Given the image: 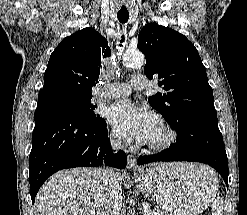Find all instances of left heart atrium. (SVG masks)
Instances as JSON below:
<instances>
[{
    "instance_id": "1",
    "label": "left heart atrium",
    "mask_w": 247,
    "mask_h": 215,
    "mask_svg": "<svg viewBox=\"0 0 247 215\" xmlns=\"http://www.w3.org/2000/svg\"><path fill=\"white\" fill-rule=\"evenodd\" d=\"M106 118L120 136L141 142H147L158 126L155 114L130 100L109 107Z\"/></svg>"
}]
</instances>
